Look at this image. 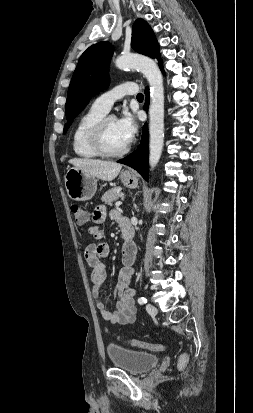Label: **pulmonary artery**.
I'll list each match as a JSON object with an SVG mask.
<instances>
[{
    "mask_svg": "<svg viewBox=\"0 0 253 413\" xmlns=\"http://www.w3.org/2000/svg\"><path fill=\"white\" fill-rule=\"evenodd\" d=\"M138 92V87L133 82H124L113 89L101 94L97 97L92 106L97 110L107 113L114 102L126 95H135Z\"/></svg>",
    "mask_w": 253,
    "mask_h": 413,
    "instance_id": "pulmonary-artery-1",
    "label": "pulmonary artery"
}]
</instances>
